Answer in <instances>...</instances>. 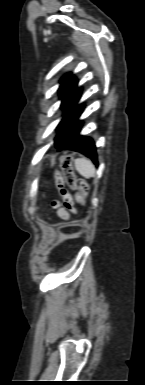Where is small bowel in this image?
<instances>
[{
  "mask_svg": "<svg viewBox=\"0 0 145 385\" xmlns=\"http://www.w3.org/2000/svg\"><path fill=\"white\" fill-rule=\"evenodd\" d=\"M52 207L56 210L58 216L63 219L67 220L69 217V213L65 207L62 206L61 202L58 200L52 201Z\"/></svg>",
  "mask_w": 145,
  "mask_h": 385,
  "instance_id": "obj_1",
  "label": "small bowel"
}]
</instances>
